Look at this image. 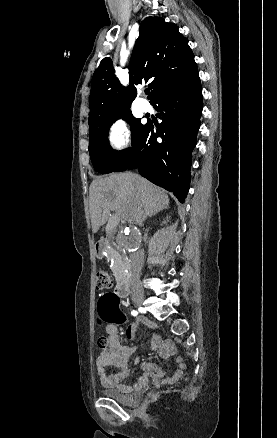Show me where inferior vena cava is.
<instances>
[{
  "label": "inferior vena cava",
  "mask_w": 277,
  "mask_h": 438,
  "mask_svg": "<svg viewBox=\"0 0 277 438\" xmlns=\"http://www.w3.org/2000/svg\"><path fill=\"white\" fill-rule=\"evenodd\" d=\"M133 178L138 180L139 176L137 174H133ZM132 280H131V288L134 290H141V282H140V272L142 270V260H136V258H132Z\"/></svg>",
  "instance_id": "602c4592"
}]
</instances>
